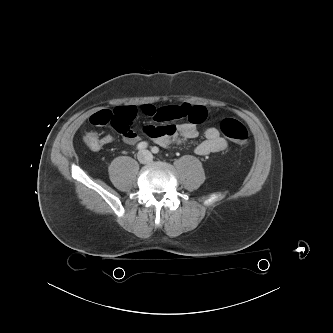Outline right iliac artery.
<instances>
[{
	"mask_svg": "<svg viewBox=\"0 0 333 333\" xmlns=\"http://www.w3.org/2000/svg\"><path fill=\"white\" fill-rule=\"evenodd\" d=\"M148 147V143L147 142H140L138 145H137V149L138 150H144Z\"/></svg>",
	"mask_w": 333,
	"mask_h": 333,
	"instance_id": "82829eb1",
	"label": "right iliac artery"
}]
</instances>
